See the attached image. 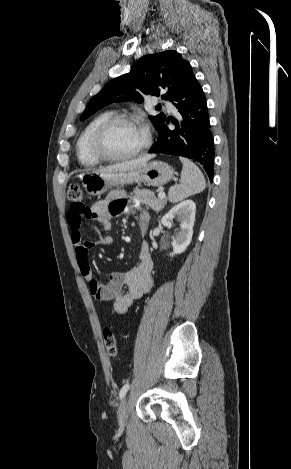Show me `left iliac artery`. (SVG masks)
I'll use <instances>...</instances> for the list:
<instances>
[{
    "instance_id": "1",
    "label": "left iliac artery",
    "mask_w": 291,
    "mask_h": 469,
    "mask_svg": "<svg viewBox=\"0 0 291 469\" xmlns=\"http://www.w3.org/2000/svg\"><path fill=\"white\" fill-rule=\"evenodd\" d=\"M129 387H130V385L127 383L121 388L120 393H119L120 399H122L125 396V394L127 393Z\"/></svg>"
}]
</instances>
